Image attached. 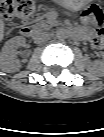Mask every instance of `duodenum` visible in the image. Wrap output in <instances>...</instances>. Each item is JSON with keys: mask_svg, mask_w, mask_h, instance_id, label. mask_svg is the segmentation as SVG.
I'll use <instances>...</instances> for the list:
<instances>
[{"mask_svg": "<svg viewBox=\"0 0 104 137\" xmlns=\"http://www.w3.org/2000/svg\"><path fill=\"white\" fill-rule=\"evenodd\" d=\"M36 28L30 25H25L21 28V34L26 37H32L36 33ZM77 39H84L85 34L83 30H78L75 34Z\"/></svg>", "mask_w": 104, "mask_h": 137, "instance_id": "duodenum-1", "label": "duodenum"}]
</instances>
